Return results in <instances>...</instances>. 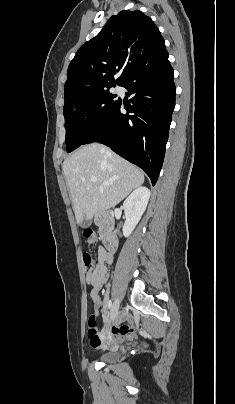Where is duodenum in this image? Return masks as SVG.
<instances>
[{"label": "duodenum", "instance_id": "1", "mask_svg": "<svg viewBox=\"0 0 235 404\" xmlns=\"http://www.w3.org/2000/svg\"><path fill=\"white\" fill-rule=\"evenodd\" d=\"M95 221L99 226L101 237L110 253H114L116 241L112 236L113 215L111 212H104L95 217Z\"/></svg>", "mask_w": 235, "mask_h": 404}]
</instances>
